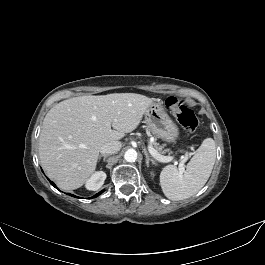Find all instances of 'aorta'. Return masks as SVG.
<instances>
[{"mask_svg": "<svg viewBox=\"0 0 265 265\" xmlns=\"http://www.w3.org/2000/svg\"><path fill=\"white\" fill-rule=\"evenodd\" d=\"M124 159L127 162H135L137 159V152L134 149H128L124 154Z\"/></svg>", "mask_w": 265, "mask_h": 265, "instance_id": "obj_1", "label": "aorta"}]
</instances>
